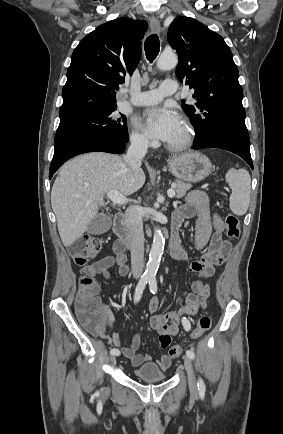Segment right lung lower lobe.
<instances>
[{
	"label": "right lung lower lobe",
	"instance_id": "98d812e1",
	"mask_svg": "<svg viewBox=\"0 0 283 434\" xmlns=\"http://www.w3.org/2000/svg\"><path fill=\"white\" fill-rule=\"evenodd\" d=\"M128 141H123L109 135H92L73 140L54 151V156L50 164L49 178L58 168L68 159L87 152H108L121 154L125 150Z\"/></svg>",
	"mask_w": 283,
	"mask_h": 434
}]
</instances>
